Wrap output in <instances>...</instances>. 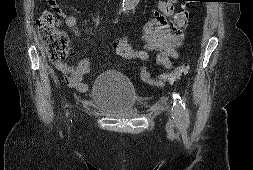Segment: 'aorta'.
<instances>
[{"instance_id": "obj_1", "label": "aorta", "mask_w": 253, "mask_h": 170, "mask_svg": "<svg viewBox=\"0 0 253 170\" xmlns=\"http://www.w3.org/2000/svg\"><path fill=\"white\" fill-rule=\"evenodd\" d=\"M138 2L139 0H123L122 9L124 11L134 9L137 6Z\"/></svg>"}]
</instances>
